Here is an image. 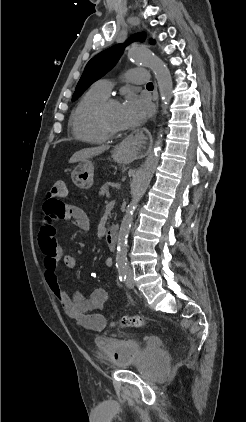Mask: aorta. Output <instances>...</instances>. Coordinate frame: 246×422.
Returning a JSON list of instances; mask_svg holds the SVG:
<instances>
[{
  "instance_id": "762f6f07",
  "label": "aorta",
  "mask_w": 246,
  "mask_h": 422,
  "mask_svg": "<svg viewBox=\"0 0 246 422\" xmlns=\"http://www.w3.org/2000/svg\"><path fill=\"white\" fill-rule=\"evenodd\" d=\"M129 59L134 63H141L148 66L155 74L160 97L163 101L162 114H166L173 90V82L170 71L167 65L154 53L143 48L141 46H135L128 51ZM163 132L162 129L159 131V135ZM162 136V135H161ZM162 146V139L158 136L154 149L149 153L143 166L137 171L134 188L132 191V200L128 205L126 214L124 215L117 240V254H116V265L118 267H124L126 262L128 237L131 230L133 221V214L136 210L139 201L145 194L152 177L155 173L157 165L159 163L160 151Z\"/></svg>"
}]
</instances>
